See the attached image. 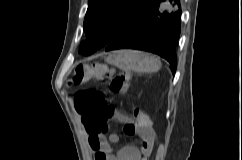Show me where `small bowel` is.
Masks as SVG:
<instances>
[{
	"mask_svg": "<svg viewBox=\"0 0 242 160\" xmlns=\"http://www.w3.org/2000/svg\"><path fill=\"white\" fill-rule=\"evenodd\" d=\"M115 118L124 124V133L131 135L127 130L132 129L134 134L140 138L141 146L137 148L127 145L117 153L113 152L112 143L118 141V137L112 134L109 138L105 134L94 135L88 132V144L94 153V160H147L150 155L155 133L149 118L143 113L134 112L133 118L120 112L115 114Z\"/></svg>",
	"mask_w": 242,
	"mask_h": 160,
	"instance_id": "1",
	"label": "small bowel"
}]
</instances>
